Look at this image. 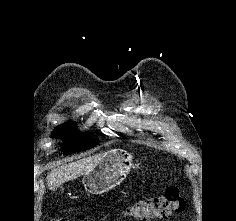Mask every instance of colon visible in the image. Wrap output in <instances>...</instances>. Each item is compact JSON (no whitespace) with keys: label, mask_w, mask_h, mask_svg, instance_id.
<instances>
[{"label":"colon","mask_w":236,"mask_h":221,"mask_svg":"<svg viewBox=\"0 0 236 221\" xmlns=\"http://www.w3.org/2000/svg\"><path fill=\"white\" fill-rule=\"evenodd\" d=\"M185 199L178 187H170L165 194L139 200L126 211L127 215L135 221H149L153 218H164L175 211L182 210ZM52 221H71L68 219H55Z\"/></svg>","instance_id":"1"}]
</instances>
